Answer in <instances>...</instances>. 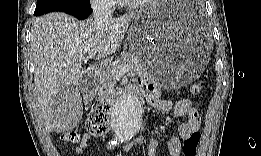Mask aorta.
Masks as SVG:
<instances>
[{"mask_svg":"<svg viewBox=\"0 0 261 156\" xmlns=\"http://www.w3.org/2000/svg\"><path fill=\"white\" fill-rule=\"evenodd\" d=\"M143 120L139 99L133 95L120 98L111 112V127L122 140H130L138 134Z\"/></svg>","mask_w":261,"mask_h":156,"instance_id":"762f6f07","label":"aorta"}]
</instances>
